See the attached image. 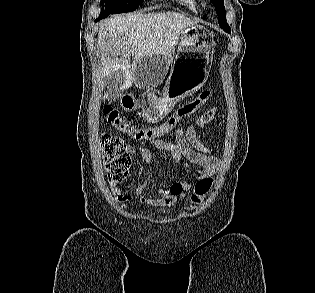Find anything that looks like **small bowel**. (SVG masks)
Masks as SVG:
<instances>
[{"label":"small bowel","mask_w":315,"mask_h":293,"mask_svg":"<svg viewBox=\"0 0 315 293\" xmlns=\"http://www.w3.org/2000/svg\"><path fill=\"white\" fill-rule=\"evenodd\" d=\"M216 113V109L209 110L198 118L196 125L205 130H209V124ZM151 146L169 152L172 155L171 162L173 164H178L183 156L191 163L201 167L202 171L199 180L209 178L218 169V158L213 155L210 147L203 144L197 138L195 125L177 127L175 144L163 141L159 138L151 139L149 140V144H144L139 151V156L146 165H150L152 160ZM126 149L129 154H134L135 152L134 147L131 145H127ZM148 183L149 181L146 179L136 186L128 184L125 187L132 188L142 204L152 206H172L183 199L186 193L191 190L190 184L180 180H174L166 189L162 187L157 188V192L160 195L159 198L150 199L144 195ZM123 188L124 187L118 184H110L111 193L118 202L125 203L131 201L133 197L123 193Z\"/></svg>","instance_id":"1"}]
</instances>
